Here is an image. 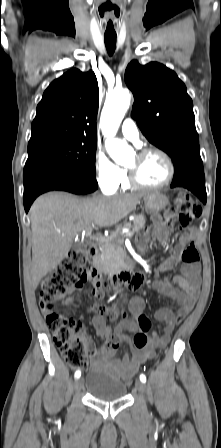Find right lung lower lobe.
<instances>
[{
  "mask_svg": "<svg viewBox=\"0 0 221 448\" xmlns=\"http://www.w3.org/2000/svg\"><path fill=\"white\" fill-rule=\"evenodd\" d=\"M23 183V200L26 213L35 198L42 193L62 190L74 194H88L98 188L95 178L49 164L25 166Z\"/></svg>",
  "mask_w": 221,
  "mask_h": 448,
  "instance_id": "right-lung-lower-lobe-1",
  "label": "right lung lower lobe"
}]
</instances>
